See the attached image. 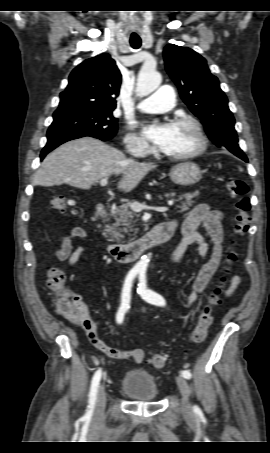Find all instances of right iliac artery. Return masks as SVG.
<instances>
[{"mask_svg": "<svg viewBox=\"0 0 270 453\" xmlns=\"http://www.w3.org/2000/svg\"><path fill=\"white\" fill-rule=\"evenodd\" d=\"M136 275H137V272H130L125 279V283H124L123 290H122V296H121V305L116 314V321L118 324H121L123 322L124 315L130 308L131 287H132V283H133V280L136 277ZM101 375H102V370L98 369L95 372L92 382H91V388H90V393H89V406H88V411H87L88 416H90L92 414V411L94 408Z\"/></svg>", "mask_w": 270, "mask_h": 453, "instance_id": "right-iliac-artery-1", "label": "right iliac artery"}]
</instances>
